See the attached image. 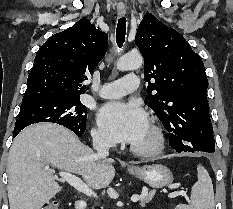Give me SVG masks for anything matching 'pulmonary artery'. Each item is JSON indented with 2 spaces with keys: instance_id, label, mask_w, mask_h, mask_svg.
<instances>
[{
  "instance_id": "obj_1",
  "label": "pulmonary artery",
  "mask_w": 233,
  "mask_h": 209,
  "mask_svg": "<svg viewBox=\"0 0 233 209\" xmlns=\"http://www.w3.org/2000/svg\"><path fill=\"white\" fill-rule=\"evenodd\" d=\"M138 86L139 77L130 74L118 80L103 84L99 94L103 98H117L136 91Z\"/></svg>"
}]
</instances>
